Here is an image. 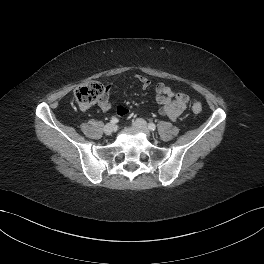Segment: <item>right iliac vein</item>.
Masks as SVG:
<instances>
[{
  "label": "right iliac vein",
  "instance_id": "1",
  "mask_svg": "<svg viewBox=\"0 0 264 264\" xmlns=\"http://www.w3.org/2000/svg\"><path fill=\"white\" fill-rule=\"evenodd\" d=\"M115 130V127L113 124H107L105 127H104V132L107 134V135H111Z\"/></svg>",
  "mask_w": 264,
  "mask_h": 264
}]
</instances>
